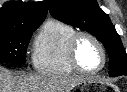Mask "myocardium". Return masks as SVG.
<instances>
[{
	"label": "myocardium",
	"instance_id": "f54148a6",
	"mask_svg": "<svg viewBox=\"0 0 127 92\" xmlns=\"http://www.w3.org/2000/svg\"><path fill=\"white\" fill-rule=\"evenodd\" d=\"M82 38H88L91 41H93L97 45V47L99 48V50L102 54V59H103L102 64L96 70H86V69L82 68L78 62L76 51H77V45ZM67 55H68V60H69V63L71 64V66L75 69L76 72H79L82 74L99 73L105 68L106 63H107V52H106L104 45L95 35H93L89 32H86V31H78L71 37V39L68 43Z\"/></svg>",
	"mask_w": 127,
	"mask_h": 92
}]
</instances>
